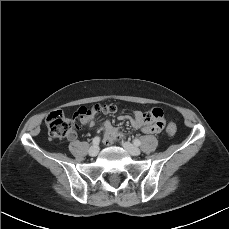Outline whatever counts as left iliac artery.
I'll return each instance as SVG.
<instances>
[{
  "mask_svg": "<svg viewBox=\"0 0 229 229\" xmlns=\"http://www.w3.org/2000/svg\"><path fill=\"white\" fill-rule=\"evenodd\" d=\"M133 143H134V145H136V146H140V145H141V141H140L139 139H134V140H133Z\"/></svg>",
  "mask_w": 229,
  "mask_h": 229,
  "instance_id": "1",
  "label": "left iliac artery"
}]
</instances>
